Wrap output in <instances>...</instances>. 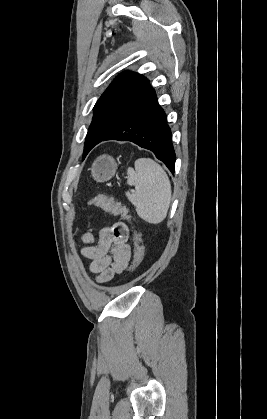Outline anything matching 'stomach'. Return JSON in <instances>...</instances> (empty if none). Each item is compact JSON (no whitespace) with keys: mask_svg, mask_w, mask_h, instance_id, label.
<instances>
[{"mask_svg":"<svg viewBox=\"0 0 267 419\" xmlns=\"http://www.w3.org/2000/svg\"><path fill=\"white\" fill-rule=\"evenodd\" d=\"M116 169L117 164L113 157L101 155L94 160L91 166V174L96 181L104 182L114 176Z\"/></svg>","mask_w":267,"mask_h":419,"instance_id":"obj_1","label":"stomach"}]
</instances>
